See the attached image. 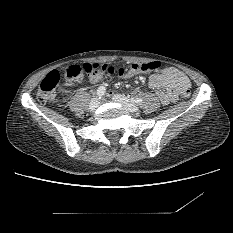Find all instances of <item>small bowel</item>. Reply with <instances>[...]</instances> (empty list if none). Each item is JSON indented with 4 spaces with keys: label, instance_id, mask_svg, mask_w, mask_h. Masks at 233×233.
I'll list each match as a JSON object with an SVG mask.
<instances>
[{
    "label": "small bowel",
    "instance_id": "obj_1",
    "mask_svg": "<svg viewBox=\"0 0 233 233\" xmlns=\"http://www.w3.org/2000/svg\"><path fill=\"white\" fill-rule=\"evenodd\" d=\"M142 72H130L126 77H132ZM92 77L91 81H97ZM148 85L153 89L162 105H168L178 99L180 90L189 88L186 75L172 67H163L159 72L149 76Z\"/></svg>",
    "mask_w": 233,
    "mask_h": 233
}]
</instances>
